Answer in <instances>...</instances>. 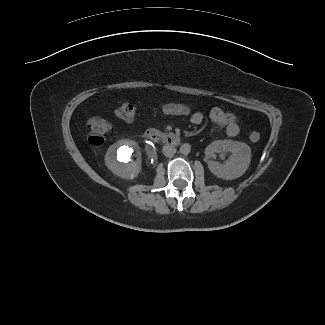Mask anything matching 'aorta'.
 <instances>
[{"mask_svg": "<svg viewBox=\"0 0 325 325\" xmlns=\"http://www.w3.org/2000/svg\"><path fill=\"white\" fill-rule=\"evenodd\" d=\"M191 151V146L188 143L182 144L180 146V153L183 155H188Z\"/></svg>", "mask_w": 325, "mask_h": 325, "instance_id": "1", "label": "aorta"}]
</instances>
